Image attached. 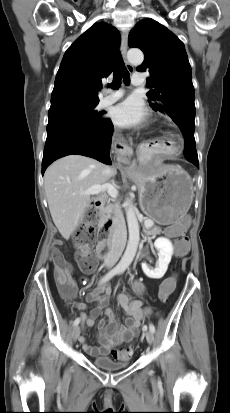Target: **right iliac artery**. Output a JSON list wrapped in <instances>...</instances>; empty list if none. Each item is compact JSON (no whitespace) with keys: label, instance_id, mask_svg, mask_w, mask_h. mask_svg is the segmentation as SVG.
I'll return each instance as SVG.
<instances>
[{"label":"right iliac artery","instance_id":"1","mask_svg":"<svg viewBox=\"0 0 230 413\" xmlns=\"http://www.w3.org/2000/svg\"><path fill=\"white\" fill-rule=\"evenodd\" d=\"M117 273H118V270H116V269H113V270L109 271V272L100 280L99 284L105 283L106 281L110 280V279H111L115 274H117ZM79 323H80V319H79V318H76L75 321H74V323H73V325H74V326H77Z\"/></svg>","mask_w":230,"mask_h":413}]
</instances>
